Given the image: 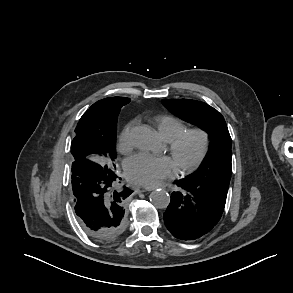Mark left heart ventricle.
<instances>
[{
	"label": "left heart ventricle",
	"instance_id": "1",
	"mask_svg": "<svg viewBox=\"0 0 293 293\" xmlns=\"http://www.w3.org/2000/svg\"><path fill=\"white\" fill-rule=\"evenodd\" d=\"M199 144L200 142L197 137H191L183 144L176 154L171 155L175 168L190 162L196 155L199 149Z\"/></svg>",
	"mask_w": 293,
	"mask_h": 293
}]
</instances>
